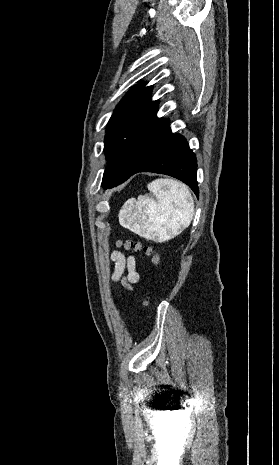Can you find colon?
<instances>
[{"mask_svg":"<svg viewBox=\"0 0 279 465\" xmlns=\"http://www.w3.org/2000/svg\"><path fill=\"white\" fill-rule=\"evenodd\" d=\"M122 245L126 249H132L137 252H143L145 255H147L151 259V262L154 266L159 265V256L153 247L149 245H144L138 241H133V240H126L122 243ZM145 303H147V301H145Z\"/></svg>","mask_w":279,"mask_h":465,"instance_id":"1","label":"colon"}]
</instances>
